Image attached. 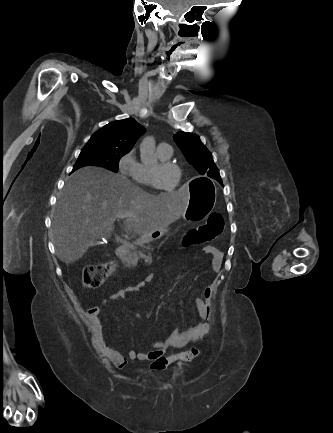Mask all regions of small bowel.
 Segmentation results:
<instances>
[{
  "label": "small bowel",
  "mask_w": 333,
  "mask_h": 433,
  "mask_svg": "<svg viewBox=\"0 0 333 433\" xmlns=\"http://www.w3.org/2000/svg\"><path fill=\"white\" fill-rule=\"evenodd\" d=\"M202 250L205 253L212 255V270L217 272L223 258L222 252L212 245H206ZM152 280L153 275L150 274L146 276L143 281L110 294L104 302L107 300H122L126 298L128 294L137 292L141 287H144ZM213 295V289L208 286L204 289L202 297L194 299L196 313L198 318L201 320L199 323L191 324L184 330L173 329L163 340L152 342L150 344V349L138 352L135 350H129L126 354H123L113 343H107L104 340L100 309L98 307L87 309L86 319L91 327L96 346L113 366L121 369L126 365L128 359L150 362L152 366L155 361L163 358V354L167 349L182 348L190 342L203 339L208 334L210 330V324L208 321L213 315Z\"/></svg>",
  "instance_id": "obj_1"
}]
</instances>
